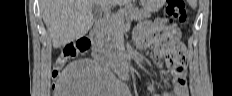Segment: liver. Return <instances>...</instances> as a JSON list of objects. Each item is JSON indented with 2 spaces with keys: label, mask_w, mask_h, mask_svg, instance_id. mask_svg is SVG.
<instances>
[{
  "label": "liver",
  "mask_w": 232,
  "mask_h": 96,
  "mask_svg": "<svg viewBox=\"0 0 232 96\" xmlns=\"http://www.w3.org/2000/svg\"><path fill=\"white\" fill-rule=\"evenodd\" d=\"M129 0H41L42 17L54 48L75 41L91 29L94 18L92 7L99 4L124 5Z\"/></svg>",
  "instance_id": "6515ba94"
}]
</instances>
